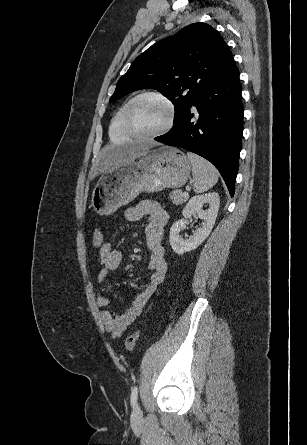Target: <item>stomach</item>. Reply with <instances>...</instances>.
Returning <instances> with one entry per match:
<instances>
[{"label":"stomach","mask_w":307,"mask_h":445,"mask_svg":"<svg viewBox=\"0 0 307 445\" xmlns=\"http://www.w3.org/2000/svg\"><path fill=\"white\" fill-rule=\"evenodd\" d=\"M191 168V160L175 146L143 148L132 160L104 170L92 192L91 206L97 214L108 216L141 192L183 186Z\"/></svg>","instance_id":"obj_1"}]
</instances>
